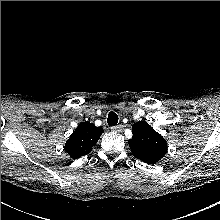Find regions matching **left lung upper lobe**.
<instances>
[{
  "label": "left lung upper lobe",
  "instance_id": "obj_1",
  "mask_svg": "<svg viewBox=\"0 0 220 220\" xmlns=\"http://www.w3.org/2000/svg\"><path fill=\"white\" fill-rule=\"evenodd\" d=\"M133 137L128 141L132 154L148 164L157 163L167 153L165 139L147 122L132 125Z\"/></svg>",
  "mask_w": 220,
  "mask_h": 220
}]
</instances>
